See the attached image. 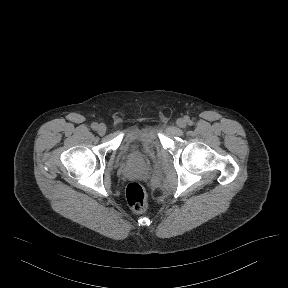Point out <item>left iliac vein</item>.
Masks as SVG:
<instances>
[{"mask_svg": "<svg viewBox=\"0 0 288 288\" xmlns=\"http://www.w3.org/2000/svg\"><path fill=\"white\" fill-rule=\"evenodd\" d=\"M176 124L180 128H185L187 126V121L184 118H178Z\"/></svg>", "mask_w": 288, "mask_h": 288, "instance_id": "1", "label": "left iliac vein"}]
</instances>
